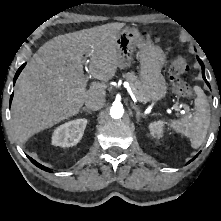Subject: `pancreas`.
<instances>
[{
	"label": "pancreas",
	"mask_w": 221,
	"mask_h": 221,
	"mask_svg": "<svg viewBox=\"0 0 221 221\" xmlns=\"http://www.w3.org/2000/svg\"><path fill=\"white\" fill-rule=\"evenodd\" d=\"M127 82L130 84L135 96L139 101H145L144 92L141 86L140 81L138 80L137 76L134 72H130L124 75Z\"/></svg>",
	"instance_id": "cf45deb5"
}]
</instances>
